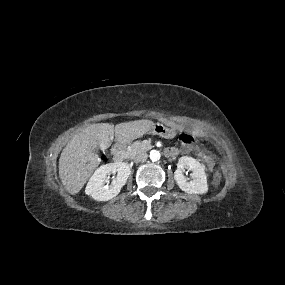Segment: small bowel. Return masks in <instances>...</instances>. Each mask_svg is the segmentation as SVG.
I'll return each mask as SVG.
<instances>
[{
    "label": "small bowel",
    "instance_id": "c3829d8e",
    "mask_svg": "<svg viewBox=\"0 0 285 285\" xmlns=\"http://www.w3.org/2000/svg\"><path fill=\"white\" fill-rule=\"evenodd\" d=\"M184 144V143H183ZM168 149H172L177 153V149L176 148H168ZM196 154L198 155L200 161L202 162V164L204 165V167L211 171L213 169L214 166V159L213 157L208 154L207 152L203 151V150H198L195 149Z\"/></svg>",
    "mask_w": 285,
    "mask_h": 285
}]
</instances>
